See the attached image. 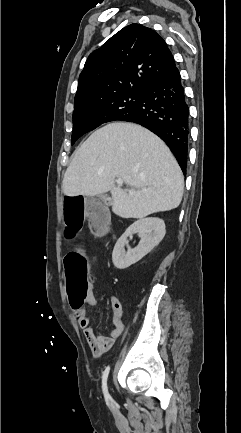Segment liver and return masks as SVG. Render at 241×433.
I'll return each mask as SVG.
<instances>
[{
    "instance_id": "6515ba94",
    "label": "liver",
    "mask_w": 241,
    "mask_h": 433,
    "mask_svg": "<svg viewBox=\"0 0 241 433\" xmlns=\"http://www.w3.org/2000/svg\"><path fill=\"white\" fill-rule=\"evenodd\" d=\"M121 178L135 193L128 194ZM62 189L66 196L111 192L112 211L122 218H143L177 208L182 200V171L166 144L144 127L114 122L96 130L75 151Z\"/></svg>"
}]
</instances>
